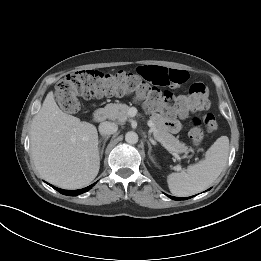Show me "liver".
Here are the masks:
<instances>
[{
	"label": "liver",
	"instance_id": "6515ba94",
	"mask_svg": "<svg viewBox=\"0 0 261 261\" xmlns=\"http://www.w3.org/2000/svg\"><path fill=\"white\" fill-rule=\"evenodd\" d=\"M31 158L40 175L64 189L90 184L100 168L97 128L64 113L50 91L30 130Z\"/></svg>",
	"mask_w": 261,
	"mask_h": 261
}]
</instances>
